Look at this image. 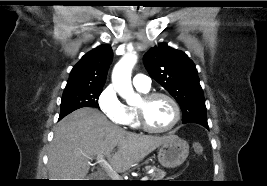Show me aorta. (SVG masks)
Here are the masks:
<instances>
[{
    "instance_id": "762f6f07",
    "label": "aorta",
    "mask_w": 267,
    "mask_h": 186,
    "mask_svg": "<svg viewBox=\"0 0 267 186\" xmlns=\"http://www.w3.org/2000/svg\"><path fill=\"white\" fill-rule=\"evenodd\" d=\"M136 62V54L128 53L115 65L112 72L114 88L118 94L128 102H133L139 98V96L134 93L131 84V72Z\"/></svg>"
}]
</instances>
